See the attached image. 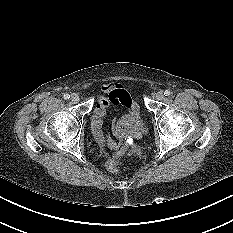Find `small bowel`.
Here are the masks:
<instances>
[{"label":"small bowel","instance_id":"c3829d8e","mask_svg":"<svg viewBox=\"0 0 233 233\" xmlns=\"http://www.w3.org/2000/svg\"><path fill=\"white\" fill-rule=\"evenodd\" d=\"M101 91L107 93V96L102 94L98 96V102L91 118V125L98 142L104 144L106 140L103 132V121L107 114V110L111 106H124L131 111V114L139 115V106L131 98L129 93L119 85L104 83L101 86ZM116 135L122 138L119 131H116ZM107 145L111 149L118 150V156L122 155L127 150L126 146H120V144L116 142L108 141Z\"/></svg>","mask_w":233,"mask_h":233}]
</instances>
